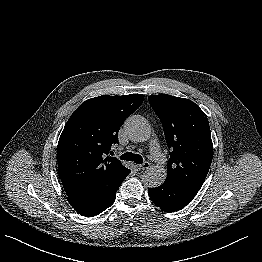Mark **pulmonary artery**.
Instances as JSON below:
<instances>
[{
    "instance_id": "1",
    "label": "pulmonary artery",
    "mask_w": 262,
    "mask_h": 262,
    "mask_svg": "<svg viewBox=\"0 0 262 262\" xmlns=\"http://www.w3.org/2000/svg\"><path fill=\"white\" fill-rule=\"evenodd\" d=\"M151 155L154 160L159 161L158 158L161 156V152L159 149V144L156 140H154L151 144Z\"/></svg>"
}]
</instances>
